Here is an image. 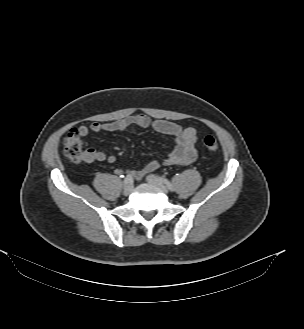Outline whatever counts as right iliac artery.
<instances>
[{
	"label": "right iliac artery",
	"mask_w": 304,
	"mask_h": 329,
	"mask_svg": "<svg viewBox=\"0 0 304 329\" xmlns=\"http://www.w3.org/2000/svg\"><path fill=\"white\" fill-rule=\"evenodd\" d=\"M132 181H133V177H132V175H131V174H128V175L126 176V178L124 179V181H123V185L125 186V185L131 183Z\"/></svg>",
	"instance_id": "right-iliac-artery-1"
}]
</instances>
